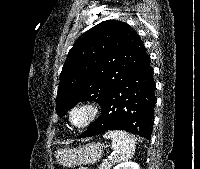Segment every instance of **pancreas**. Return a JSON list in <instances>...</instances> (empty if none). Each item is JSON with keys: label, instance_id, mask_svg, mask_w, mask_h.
Here are the masks:
<instances>
[{"label": "pancreas", "instance_id": "cf45deb5", "mask_svg": "<svg viewBox=\"0 0 200 169\" xmlns=\"http://www.w3.org/2000/svg\"><path fill=\"white\" fill-rule=\"evenodd\" d=\"M116 162L117 159H110L109 161L103 162L99 169H110Z\"/></svg>", "mask_w": 200, "mask_h": 169}]
</instances>
